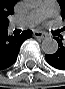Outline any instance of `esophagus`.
<instances>
[{
	"label": "esophagus",
	"mask_w": 65,
	"mask_h": 89,
	"mask_svg": "<svg viewBox=\"0 0 65 89\" xmlns=\"http://www.w3.org/2000/svg\"><path fill=\"white\" fill-rule=\"evenodd\" d=\"M33 36L36 37V38H47L48 35L45 33V32H42V31H33Z\"/></svg>",
	"instance_id": "34e87169"
}]
</instances>
